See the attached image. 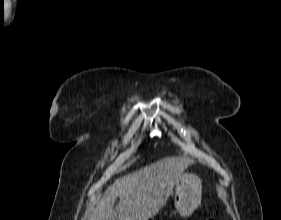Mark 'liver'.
<instances>
[{
  "mask_svg": "<svg viewBox=\"0 0 281 220\" xmlns=\"http://www.w3.org/2000/svg\"><path fill=\"white\" fill-rule=\"evenodd\" d=\"M191 164L185 156L166 157L115 180L90 220H149L164 207L176 181ZM117 197L120 201L114 208Z\"/></svg>",
  "mask_w": 281,
  "mask_h": 220,
  "instance_id": "1",
  "label": "liver"
}]
</instances>
